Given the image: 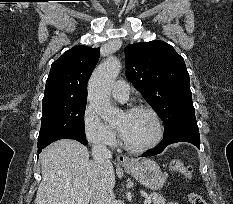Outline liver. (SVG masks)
I'll return each mask as SVG.
<instances>
[{
    "mask_svg": "<svg viewBox=\"0 0 233 204\" xmlns=\"http://www.w3.org/2000/svg\"><path fill=\"white\" fill-rule=\"evenodd\" d=\"M88 149L72 139H61L46 147L41 155L42 181L35 204H89L102 177V169L89 159ZM115 185L114 169H108Z\"/></svg>",
    "mask_w": 233,
    "mask_h": 204,
    "instance_id": "1",
    "label": "liver"
}]
</instances>
